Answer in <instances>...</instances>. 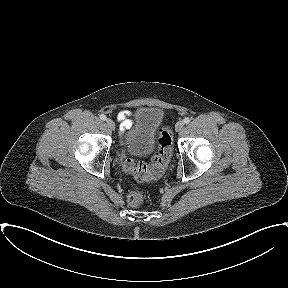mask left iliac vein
<instances>
[{
  "label": "left iliac vein",
  "instance_id": "obj_1",
  "mask_svg": "<svg viewBox=\"0 0 288 288\" xmlns=\"http://www.w3.org/2000/svg\"><path fill=\"white\" fill-rule=\"evenodd\" d=\"M183 127H184V122L183 121H179L175 125V130L177 132H180L183 129Z\"/></svg>",
  "mask_w": 288,
  "mask_h": 288
}]
</instances>
